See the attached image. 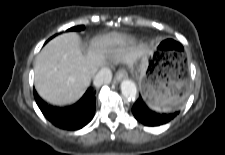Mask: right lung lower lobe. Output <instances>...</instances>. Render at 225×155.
Wrapping results in <instances>:
<instances>
[{
	"mask_svg": "<svg viewBox=\"0 0 225 155\" xmlns=\"http://www.w3.org/2000/svg\"><path fill=\"white\" fill-rule=\"evenodd\" d=\"M95 92L89 88L75 104L65 107H53L44 102L34 90V98L43 115L53 125L66 130H78L87 125L93 118L96 108Z\"/></svg>",
	"mask_w": 225,
	"mask_h": 155,
	"instance_id": "98d812e1",
	"label": "right lung lower lobe"
}]
</instances>
